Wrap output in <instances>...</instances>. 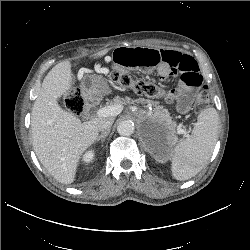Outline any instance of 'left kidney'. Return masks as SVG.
<instances>
[{"mask_svg": "<svg viewBox=\"0 0 250 250\" xmlns=\"http://www.w3.org/2000/svg\"><path fill=\"white\" fill-rule=\"evenodd\" d=\"M156 160L161 161L160 155H155Z\"/></svg>", "mask_w": 250, "mask_h": 250, "instance_id": "left-kidney-1", "label": "left kidney"}]
</instances>
